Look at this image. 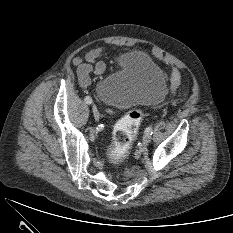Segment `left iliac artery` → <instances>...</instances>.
Segmentation results:
<instances>
[{
    "label": "left iliac artery",
    "mask_w": 233,
    "mask_h": 233,
    "mask_svg": "<svg viewBox=\"0 0 233 233\" xmlns=\"http://www.w3.org/2000/svg\"><path fill=\"white\" fill-rule=\"evenodd\" d=\"M152 131H153V130H152V127H151V126H149V127H147V128L145 129V132H146V133L152 134V133H153Z\"/></svg>",
    "instance_id": "1"
}]
</instances>
